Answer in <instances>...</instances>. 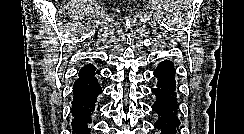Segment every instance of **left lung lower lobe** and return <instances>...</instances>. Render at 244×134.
Segmentation results:
<instances>
[{"instance_id":"obj_1","label":"left lung lower lobe","mask_w":244,"mask_h":134,"mask_svg":"<svg viewBox=\"0 0 244 134\" xmlns=\"http://www.w3.org/2000/svg\"><path fill=\"white\" fill-rule=\"evenodd\" d=\"M152 92L157 97L152 109L159 115L154 127L161 130V134H176L180 121L177 117L175 85H163L158 82Z\"/></svg>"}]
</instances>
